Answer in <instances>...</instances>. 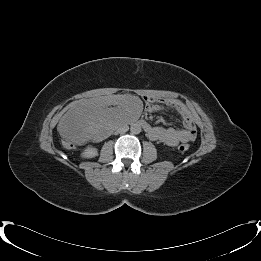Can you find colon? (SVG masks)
I'll return each instance as SVG.
<instances>
[{
	"label": "colon",
	"mask_w": 261,
	"mask_h": 261,
	"mask_svg": "<svg viewBox=\"0 0 261 261\" xmlns=\"http://www.w3.org/2000/svg\"><path fill=\"white\" fill-rule=\"evenodd\" d=\"M180 152H186L189 149V144L182 142L178 147Z\"/></svg>",
	"instance_id": "obj_1"
}]
</instances>
